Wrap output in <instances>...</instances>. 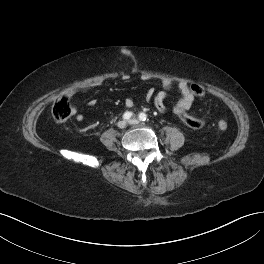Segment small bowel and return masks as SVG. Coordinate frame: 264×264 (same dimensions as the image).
<instances>
[{"mask_svg":"<svg viewBox=\"0 0 264 264\" xmlns=\"http://www.w3.org/2000/svg\"><path fill=\"white\" fill-rule=\"evenodd\" d=\"M122 79L128 80L129 76L124 75L122 77ZM142 79L147 80L148 77L143 76ZM160 82H161L163 89L158 91V92H155V90L153 88H149L145 94L144 99L148 102H153L157 111H159L160 113H163L166 110L165 99L167 96V91L172 87V82L168 78H162L160 80ZM100 85H101L100 82H95V83H91V84L81 86V87H71V88L66 90L65 95L67 97H72V96H74L80 92H84V91H87L90 89H94ZM178 90L180 92L181 97H180L178 104L174 108L175 114L180 109H182L184 111L189 110L191 108V106L193 105V102H194V95L190 91V88L186 82H184V81L179 82L178 83ZM95 103H96L95 99H90L88 102L89 105H94ZM125 104L127 107H132L134 105V101H133V99L128 98V99H126ZM76 120L78 122H81L83 120V116L81 114H78L76 116Z\"/></svg>","mask_w":264,"mask_h":264,"instance_id":"1","label":"small bowel"}]
</instances>
